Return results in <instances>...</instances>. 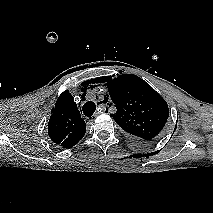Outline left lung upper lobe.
Instances as JSON below:
<instances>
[{
	"instance_id": "1",
	"label": "left lung upper lobe",
	"mask_w": 213,
	"mask_h": 213,
	"mask_svg": "<svg viewBox=\"0 0 213 213\" xmlns=\"http://www.w3.org/2000/svg\"><path fill=\"white\" fill-rule=\"evenodd\" d=\"M108 97L117 108L111 114L115 122L132 138L148 142L158 136L165 126L169 109L167 102L148 83L133 74L103 80ZM102 81V82H103Z\"/></svg>"
}]
</instances>
